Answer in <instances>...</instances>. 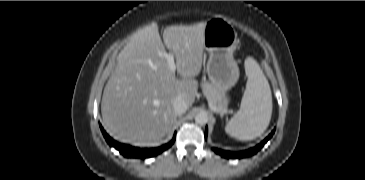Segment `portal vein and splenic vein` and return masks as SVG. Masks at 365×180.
Wrapping results in <instances>:
<instances>
[{"instance_id":"portal-vein-and-splenic-vein-1","label":"portal vein and splenic vein","mask_w":365,"mask_h":180,"mask_svg":"<svg viewBox=\"0 0 365 180\" xmlns=\"http://www.w3.org/2000/svg\"><path fill=\"white\" fill-rule=\"evenodd\" d=\"M160 55L163 56L167 60V63L169 65L170 70L173 71V72H175L176 65H175V62H174V54L167 53V52H163Z\"/></svg>"}]
</instances>
